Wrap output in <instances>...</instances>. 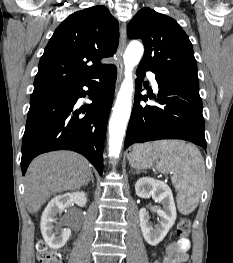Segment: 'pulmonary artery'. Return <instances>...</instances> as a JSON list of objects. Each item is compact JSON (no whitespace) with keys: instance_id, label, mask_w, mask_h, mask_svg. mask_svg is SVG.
<instances>
[{"instance_id":"1","label":"pulmonary artery","mask_w":233,"mask_h":263,"mask_svg":"<svg viewBox=\"0 0 233 263\" xmlns=\"http://www.w3.org/2000/svg\"><path fill=\"white\" fill-rule=\"evenodd\" d=\"M147 77L149 78L154 91H158L159 87H158V83H157L155 74L152 72H147Z\"/></svg>"}]
</instances>
